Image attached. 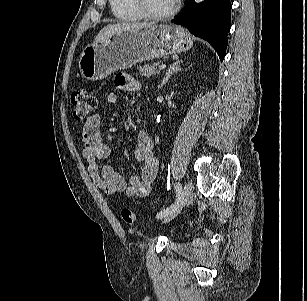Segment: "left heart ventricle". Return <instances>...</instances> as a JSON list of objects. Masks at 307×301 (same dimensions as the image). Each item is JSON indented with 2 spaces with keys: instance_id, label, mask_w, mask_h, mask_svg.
Listing matches in <instances>:
<instances>
[{
  "instance_id": "obj_1",
  "label": "left heart ventricle",
  "mask_w": 307,
  "mask_h": 301,
  "mask_svg": "<svg viewBox=\"0 0 307 301\" xmlns=\"http://www.w3.org/2000/svg\"><path fill=\"white\" fill-rule=\"evenodd\" d=\"M175 0H146L148 8L153 13H164L174 4Z\"/></svg>"
}]
</instances>
